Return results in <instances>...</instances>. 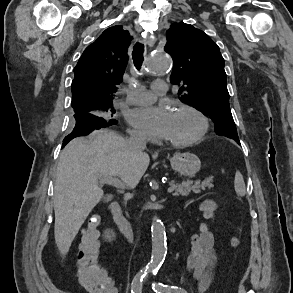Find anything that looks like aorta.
Masks as SVG:
<instances>
[{"instance_id":"obj_1","label":"aorta","mask_w":293,"mask_h":293,"mask_svg":"<svg viewBox=\"0 0 293 293\" xmlns=\"http://www.w3.org/2000/svg\"><path fill=\"white\" fill-rule=\"evenodd\" d=\"M171 57L164 51H153L145 64V72L149 76L161 75L171 68ZM152 254L148 264L149 269L156 270L160 267L167 253L166 232L163 222L154 216L151 224Z\"/></svg>"}]
</instances>
